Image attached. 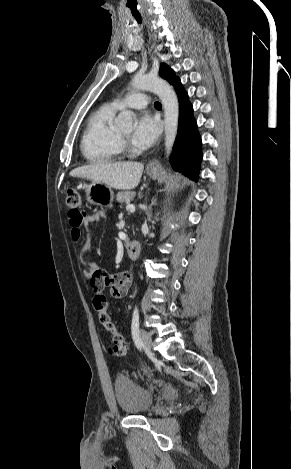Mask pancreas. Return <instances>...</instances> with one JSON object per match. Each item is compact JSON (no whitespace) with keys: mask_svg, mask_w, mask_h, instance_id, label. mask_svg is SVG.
Wrapping results in <instances>:
<instances>
[{"mask_svg":"<svg viewBox=\"0 0 291 469\" xmlns=\"http://www.w3.org/2000/svg\"><path fill=\"white\" fill-rule=\"evenodd\" d=\"M134 196H135V192L125 191V192H119L116 196V199L119 203L126 202L127 204H129L130 201L133 200Z\"/></svg>","mask_w":291,"mask_h":469,"instance_id":"cf45deb5","label":"pancreas"}]
</instances>
